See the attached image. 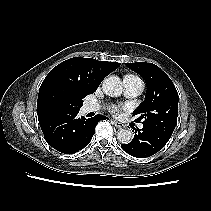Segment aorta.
Wrapping results in <instances>:
<instances>
[{
	"mask_svg": "<svg viewBox=\"0 0 211 211\" xmlns=\"http://www.w3.org/2000/svg\"><path fill=\"white\" fill-rule=\"evenodd\" d=\"M103 92L110 97H118L122 94V82L118 76L112 75L104 79L102 83ZM133 137L129 129H121L117 134V139L123 144L131 142Z\"/></svg>",
	"mask_w": 211,
	"mask_h": 211,
	"instance_id": "obj_1",
	"label": "aorta"
}]
</instances>
